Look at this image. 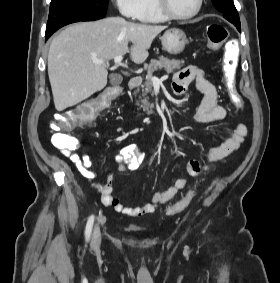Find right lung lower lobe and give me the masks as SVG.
<instances>
[{
    "instance_id": "right-lung-lower-lobe-1",
    "label": "right lung lower lobe",
    "mask_w": 280,
    "mask_h": 283,
    "mask_svg": "<svg viewBox=\"0 0 280 283\" xmlns=\"http://www.w3.org/2000/svg\"><path fill=\"white\" fill-rule=\"evenodd\" d=\"M80 20H65V21H60V22H57L55 24H52L50 26H48L46 28V40L55 32L57 31L59 28L67 25V24H70V23H74V22H79Z\"/></svg>"
}]
</instances>
